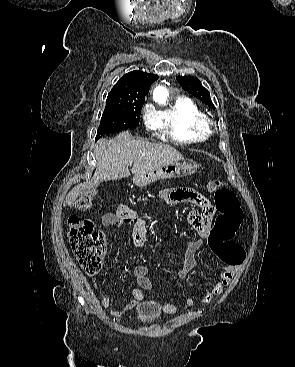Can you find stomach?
<instances>
[{"instance_id":"obj_1","label":"stomach","mask_w":295,"mask_h":367,"mask_svg":"<svg viewBox=\"0 0 295 367\" xmlns=\"http://www.w3.org/2000/svg\"><path fill=\"white\" fill-rule=\"evenodd\" d=\"M196 169L197 164L193 161H175L150 172L137 175L133 178V182L137 186H144L159 179L186 177L195 173Z\"/></svg>"}]
</instances>
